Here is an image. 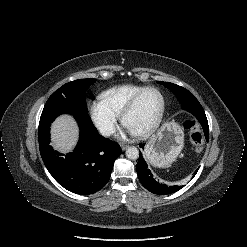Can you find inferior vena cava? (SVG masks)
<instances>
[{
    "instance_id": "inferior-vena-cava-1",
    "label": "inferior vena cava",
    "mask_w": 247,
    "mask_h": 247,
    "mask_svg": "<svg viewBox=\"0 0 247 247\" xmlns=\"http://www.w3.org/2000/svg\"><path fill=\"white\" fill-rule=\"evenodd\" d=\"M114 132V129L110 126H103L100 128V133L103 136H110Z\"/></svg>"
}]
</instances>
